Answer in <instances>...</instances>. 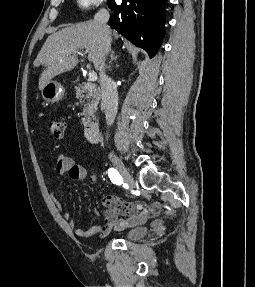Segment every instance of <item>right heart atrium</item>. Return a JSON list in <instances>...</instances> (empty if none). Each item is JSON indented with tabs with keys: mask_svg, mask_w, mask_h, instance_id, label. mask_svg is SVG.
Returning a JSON list of instances; mask_svg holds the SVG:
<instances>
[{
	"mask_svg": "<svg viewBox=\"0 0 255 287\" xmlns=\"http://www.w3.org/2000/svg\"><path fill=\"white\" fill-rule=\"evenodd\" d=\"M84 33H88V32H84ZM66 48H85V47H66Z\"/></svg>",
	"mask_w": 255,
	"mask_h": 287,
	"instance_id": "1",
	"label": "right heart atrium"
}]
</instances>
